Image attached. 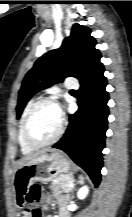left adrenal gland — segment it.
<instances>
[{"instance_id":"obj_1","label":"left adrenal gland","mask_w":132,"mask_h":217,"mask_svg":"<svg viewBox=\"0 0 132 217\" xmlns=\"http://www.w3.org/2000/svg\"><path fill=\"white\" fill-rule=\"evenodd\" d=\"M78 179H79V181H78V183H80V184H82L83 182H84V177H83V175H79L78 176ZM74 189V187H72V190ZM73 198V197H72Z\"/></svg>"}]
</instances>
